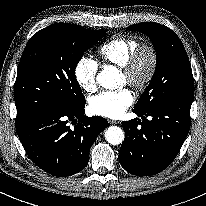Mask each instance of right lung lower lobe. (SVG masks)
<instances>
[{"label":"right lung lower lobe","instance_id":"98d812e1","mask_svg":"<svg viewBox=\"0 0 206 206\" xmlns=\"http://www.w3.org/2000/svg\"><path fill=\"white\" fill-rule=\"evenodd\" d=\"M85 104L43 109L16 119L17 134L27 155L45 172L70 176L88 164L90 148L108 122L100 116H84Z\"/></svg>","mask_w":206,"mask_h":206}]
</instances>
